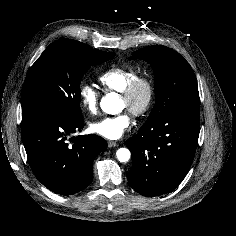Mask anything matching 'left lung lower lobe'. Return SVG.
Segmentation results:
<instances>
[{
  "label": "left lung lower lobe",
  "mask_w": 236,
  "mask_h": 236,
  "mask_svg": "<svg viewBox=\"0 0 236 236\" xmlns=\"http://www.w3.org/2000/svg\"><path fill=\"white\" fill-rule=\"evenodd\" d=\"M199 129V112L193 111L170 113L143 125L125 142L132 154L130 186L147 197L175 189L192 164Z\"/></svg>",
  "instance_id": "1"
}]
</instances>
